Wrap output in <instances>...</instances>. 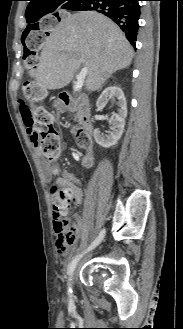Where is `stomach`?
<instances>
[{"label": "stomach", "instance_id": "1", "mask_svg": "<svg viewBox=\"0 0 183 329\" xmlns=\"http://www.w3.org/2000/svg\"><path fill=\"white\" fill-rule=\"evenodd\" d=\"M54 107H56V108H58V110H60V108H59V103H58V102H55V103H54Z\"/></svg>", "mask_w": 183, "mask_h": 329}]
</instances>
